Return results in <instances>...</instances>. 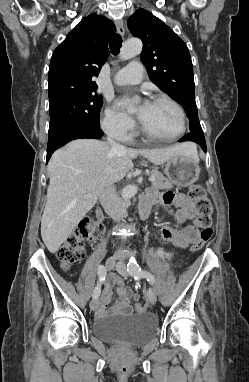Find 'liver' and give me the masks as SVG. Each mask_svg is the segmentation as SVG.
Returning <instances> with one entry per match:
<instances>
[{"label":"liver","instance_id":"liver-1","mask_svg":"<svg viewBox=\"0 0 249 382\" xmlns=\"http://www.w3.org/2000/svg\"><path fill=\"white\" fill-rule=\"evenodd\" d=\"M178 154L198 159L192 143L162 149L118 150L96 139H77L55 151L48 163L50 182L41 219V236L47 249L51 253L59 250L94 207L102 190L123 179L133 168L132 159L141 155L154 165H161Z\"/></svg>","mask_w":249,"mask_h":382}]
</instances>
